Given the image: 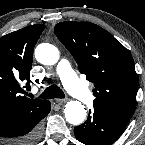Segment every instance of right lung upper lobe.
<instances>
[{
  "label": "right lung upper lobe",
  "instance_id": "right-lung-upper-lobe-1",
  "mask_svg": "<svg viewBox=\"0 0 145 145\" xmlns=\"http://www.w3.org/2000/svg\"><path fill=\"white\" fill-rule=\"evenodd\" d=\"M44 28L30 25L0 38V122L14 120L45 102L20 95V83H30L33 49Z\"/></svg>",
  "mask_w": 145,
  "mask_h": 145
}]
</instances>
